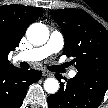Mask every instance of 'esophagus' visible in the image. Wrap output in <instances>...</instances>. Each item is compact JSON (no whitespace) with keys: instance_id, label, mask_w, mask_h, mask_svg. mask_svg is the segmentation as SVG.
I'll return each instance as SVG.
<instances>
[{"instance_id":"esophagus-1","label":"esophagus","mask_w":108,"mask_h":108,"mask_svg":"<svg viewBox=\"0 0 108 108\" xmlns=\"http://www.w3.org/2000/svg\"><path fill=\"white\" fill-rule=\"evenodd\" d=\"M43 76L51 77V76H53V74L51 72H49V71L44 70L43 71Z\"/></svg>"}]
</instances>
